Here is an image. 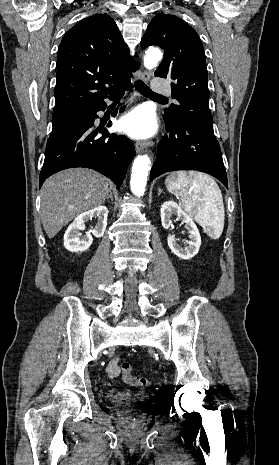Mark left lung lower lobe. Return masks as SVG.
<instances>
[{
    "label": "left lung lower lobe",
    "instance_id": "0a47b994",
    "mask_svg": "<svg viewBox=\"0 0 279 465\" xmlns=\"http://www.w3.org/2000/svg\"><path fill=\"white\" fill-rule=\"evenodd\" d=\"M167 134L158 144L150 180L177 170H197L220 180L226 187L227 175L214 133L190 121L166 123Z\"/></svg>",
    "mask_w": 279,
    "mask_h": 465
}]
</instances>
